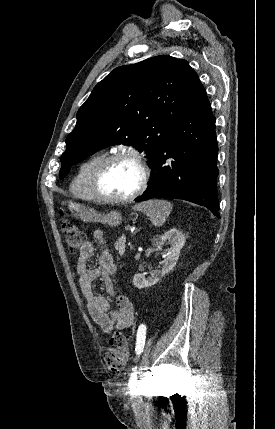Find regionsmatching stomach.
Segmentation results:
<instances>
[{
	"mask_svg": "<svg viewBox=\"0 0 275 429\" xmlns=\"http://www.w3.org/2000/svg\"><path fill=\"white\" fill-rule=\"evenodd\" d=\"M67 207L74 217L84 222H101L109 226H118L122 221V216L117 211L101 214L93 208L75 202H69Z\"/></svg>",
	"mask_w": 275,
	"mask_h": 429,
	"instance_id": "stomach-1",
	"label": "stomach"
}]
</instances>
